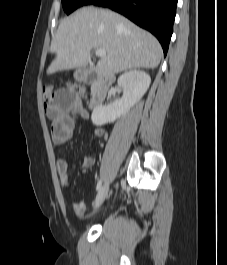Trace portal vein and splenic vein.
<instances>
[{"mask_svg":"<svg viewBox=\"0 0 227 265\" xmlns=\"http://www.w3.org/2000/svg\"><path fill=\"white\" fill-rule=\"evenodd\" d=\"M95 54L98 57H104L106 55V51L104 49H96Z\"/></svg>","mask_w":227,"mask_h":265,"instance_id":"portal-vein-and-splenic-vein-1","label":"portal vein and splenic vein"}]
</instances>
